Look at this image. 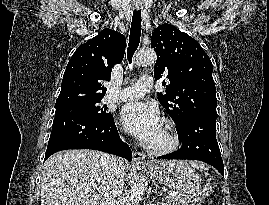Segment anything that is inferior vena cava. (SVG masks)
I'll list each match as a JSON object with an SVG mask.
<instances>
[{"mask_svg": "<svg viewBox=\"0 0 269 205\" xmlns=\"http://www.w3.org/2000/svg\"><path fill=\"white\" fill-rule=\"evenodd\" d=\"M124 189V163L120 158L109 159L107 186L100 205H119Z\"/></svg>", "mask_w": 269, "mask_h": 205, "instance_id": "1", "label": "inferior vena cava"}]
</instances>
